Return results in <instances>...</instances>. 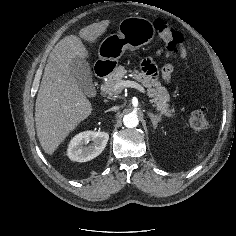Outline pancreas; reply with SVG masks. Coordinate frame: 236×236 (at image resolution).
<instances>
[{
	"mask_svg": "<svg viewBox=\"0 0 236 236\" xmlns=\"http://www.w3.org/2000/svg\"><path fill=\"white\" fill-rule=\"evenodd\" d=\"M127 76L132 77L147 88L148 96L153 98L151 99V103L160 111V114L168 118L175 117V108L173 106L170 107L168 103L170 96L166 88L161 85L159 80L139 70H126L124 66L116 67L115 70L108 75L107 81L102 85V90L110 97H117L122 90H115L114 87Z\"/></svg>",
	"mask_w": 236,
	"mask_h": 236,
	"instance_id": "cf45deb5",
	"label": "pancreas"
}]
</instances>
